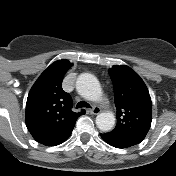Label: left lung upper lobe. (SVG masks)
Instances as JSON below:
<instances>
[{
	"mask_svg": "<svg viewBox=\"0 0 176 176\" xmlns=\"http://www.w3.org/2000/svg\"><path fill=\"white\" fill-rule=\"evenodd\" d=\"M109 74L114 84L118 118L111 133L129 143H140L151 125L152 104L148 90L128 67H114Z\"/></svg>",
	"mask_w": 176,
	"mask_h": 176,
	"instance_id": "1",
	"label": "left lung upper lobe"
}]
</instances>
